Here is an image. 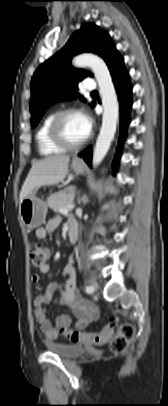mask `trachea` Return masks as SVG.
<instances>
[{
  "label": "trachea",
  "instance_id": "3493384b",
  "mask_svg": "<svg viewBox=\"0 0 168 406\" xmlns=\"http://www.w3.org/2000/svg\"><path fill=\"white\" fill-rule=\"evenodd\" d=\"M96 93H97V91H93V92H92V94H96Z\"/></svg>",
  "mask_w": 168,
  "mask_h": 406
}]
</instances>
